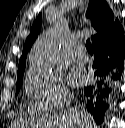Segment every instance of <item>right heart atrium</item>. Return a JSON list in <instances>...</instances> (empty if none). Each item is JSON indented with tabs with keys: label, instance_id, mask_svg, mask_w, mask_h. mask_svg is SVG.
<instances>
[{
	"label": "right heart atrium",
	"instance_id": "obj_1",
	"mask_svg": "<svg viewBox=\"0 0 125 128\" xmlns=\"http://www.w3.org/2000/svg\"><path fill=\"white\" fill-rule=\"evenodd\" d=\"M25 88L31 105L37 110L52 111L68 101L59 76L52 72L29 71Z\"/></svg>",
	"mask_w": 125,
	"mask_h": 128
}]
</instances>
